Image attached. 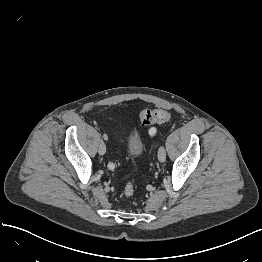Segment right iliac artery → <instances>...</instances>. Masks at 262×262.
<instances>
[{"instance_id": "82829eb1", "label": "right iliac artery", "mask_w": 262, "mask_h": 262, "mask_svg": "<svg viewBox=\"0 0 262 262\" xmlns=\"http://www.w3.org/2000/svg\"><path fill=\"white\" fill-rule=\"evenodd\" d=\"M105 138V137H104ZM115 166H114V164L113 163H109L108 164V168H110V169H113Z\"/></svg>"}]
</instances>
